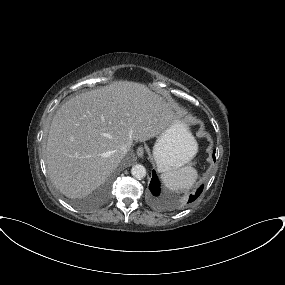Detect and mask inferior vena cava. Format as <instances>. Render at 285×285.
<instances>
[{"label":"inferior vena cava","instance_id":"1","mask_svg":"<svg viewBox=\"0 0 285 285\" xmlns=\"http://www.w3.org/2000/svg\"><path fill=\"white\" fill-rule=\"evenodd\" d=\"M127 151H128L127 146L120 147V150H119L120 157H124Z\"/></svg>","mask_w":285,"mask_h":285}]
</instances>
